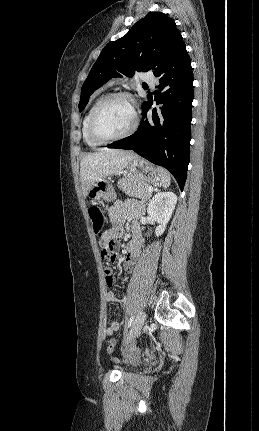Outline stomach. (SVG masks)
<instances>
[{
  "label": "stomach",
  "mask_w": 259,
  "mask_h": 431,
  "mask_svg": "<svg viewBox=\"0 0 259 431\" xmlns=\"http://www.w3.org/2000/svg\"><path fill=\"white\" fill-rule=\"evenodd\" d=\"M125 172L134 178L142 180L148 185L157 184L160 181L157 168L140 157H137L127 163L125 166ZM87 196L93 201L103 200L106 202H111L116 198L113 186L105 179L96 182L88 190Z\"/></svg>",
  "instance_id": "0dacf381"
}]
</instances>
